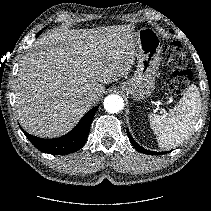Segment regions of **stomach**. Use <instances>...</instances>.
Instances as JSON below:
<instances>
[{"label":"stomach","instance_id":"obj_1","mask_svg":"<svg viewBox=\"0 0 211 211\" xmlns=\"http://www.w3.org/2000/svg\"><path fill=\"white\" fill-rule=\"evenodd\" d=\"M135 33L137 68L134 75L123 83L122 88L135 101H142L154 90L162 46L159 36L152 29L143 28Z\"/></svg>","mask_w":211,"mask_h":211}]
</instances>
